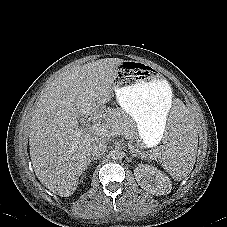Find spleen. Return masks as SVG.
<instances>
[{"mask_svg":"<svg viewBox=\"0 0 227 227\" xmlns=\"http://www.w3.org/2000/svg\"><path fill=\"white\" fill-rule=\"evenodd\" d=\"M191 115L189 103H174L163 127V143L152 150L154 161L178 181L192 171L197 154V131Z\"/></svg>","mask_w":227,"mask_h":227,"instance_id":"1","label":"spleen"}]
</instances>
